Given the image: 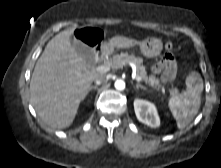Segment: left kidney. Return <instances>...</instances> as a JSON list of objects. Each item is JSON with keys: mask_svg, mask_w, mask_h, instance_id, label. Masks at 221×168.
<instances>
[{"mask_svg": "<svg viewBox=\"0 0 221 168\" xmlns=\"http://www.w3.org/2000/svg\"><path fill=\"white\" fill-rule=\"evenodd\" d=\"M134 110L136 117L140 122L152 128H156L160 125V119L153 103L146 100L136 99L134 101Z\"/></svg>", "mask_w": 221, "mask_h": 168, "instance_id": "1", "label": "left kidney"}]
</instances>
